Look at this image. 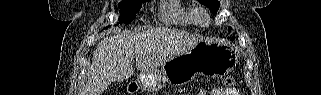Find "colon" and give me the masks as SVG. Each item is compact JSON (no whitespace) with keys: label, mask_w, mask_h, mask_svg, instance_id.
Masks as SVG:
<instances>
[{"label":"colon","mask_w":321,"mask_h":95,"mask_svg":"<svg viewBox=\"0 0 321 95\" xmlns=\"http://www.w3.org/2000/svg\"><path fill=\"white\" fill-rule=\"evenodd\" d=\"M223 84L227 87H234L236 86V80L231 76H227L223 79Z\"/></svg>","instance_id":"colon-1"}]
</instances>
